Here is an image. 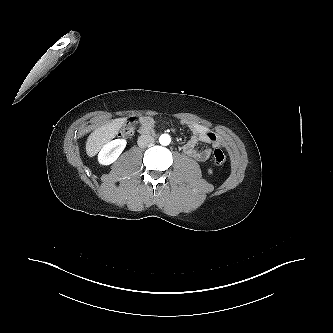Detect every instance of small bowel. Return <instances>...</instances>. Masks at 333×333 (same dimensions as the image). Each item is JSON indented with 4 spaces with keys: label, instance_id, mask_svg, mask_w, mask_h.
Returning a JSON list of instances; mask_svg holds the SVG:
<instances>
[{
    "label": "small bowel",
    "instance_id": "obj_1",
    "mask_svg": "<svg viewBox=\"0 0 333 333\" xmlns=\"http://www.w3.org/2000/svg\"><path fill=\"white\" fill-rule=\"evenodd\" d=\"M184 125L192 132V138L183 146L184 152L199 162H204L211 157L212 151L209 148L197 149V142L203 141L212 145L215 148L222 147L220 139L216 134L207 127L185 121ZM156 121L152 117H146L142 120V126L140 128L141 134H148L155 131Z\"/></svg>",
    "mask_w": 333,
    "mask_h": 333
}]
</instances>
